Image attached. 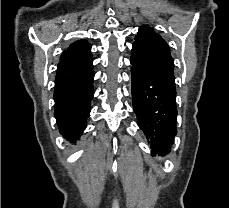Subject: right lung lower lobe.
<instances>
[{
	"label": "right lung lower lobe",
	"mask_w": 229,
	"mask_h": 208,
	"mask_svg": "<svg viewBox=\"0 0 229 208\" xmlns=\"http://www.w3.org/2000/svg\"><path fill=\"white\" fill-rule=\"evenodd\" d=\"M92 69L91 65L86 74L56 87L54 91V116L61 134L71 142L77 140L86 128L94 95Z\"/></svg>",
	"instance_id": "right-lung-lower-lobe-1"
}]
</instances>
